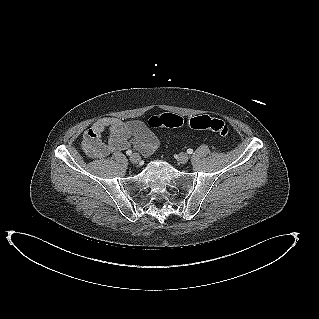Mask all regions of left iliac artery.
Instances as JSON below:
<instances>
[{
  "mask_svg": "<svg viewBox=\"0 0 319 319\" xmlns=\"http://www.w3.org/2000/svg\"><path fill=\"white\" fill-rule=\"evenodd\" d=\"M187 153H188V154H192V153H193V150L189 148V149H187Z\"/></svg>",
  "mask_w": 319,
  "mask_h": 319,
  "instance_id": "left-iliac-artery-1",
  "label": "left iliac artery"
}]
</instances>
